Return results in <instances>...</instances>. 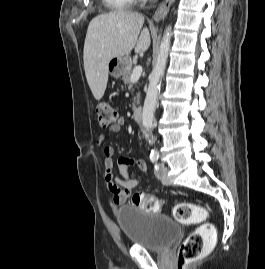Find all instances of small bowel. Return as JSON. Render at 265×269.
<instances>
[{"label": "small bowel", "mask_w": 265, "mask_h": 269, "mask_svg": "<svg viewBox=\"0 0 265 269\" xmlns=\"http://www.w3.org/2000/svg\"><path fill=\"white\" fill-rule=\"evenodd\" d=\"M124 125V120L119 119L118 122L113 125L110 130L113 133H119ZM105 140V136H99L97 143L102 145ZM104 159V169H105V181L107 183L108 190L112 193V201L115 205L124 204L131 191L137 188L143 180L147 177V166L143 159H133L128 156H120L117 161L118 169L120 171L121 177L114 178L113 169L115 166L114 156L115 149L113 146L105 145L102 148ZM135 165L139 173L135 177L129 176V168Z\"/></svg>", "instance_id": "obj_1"}]
</instances>
